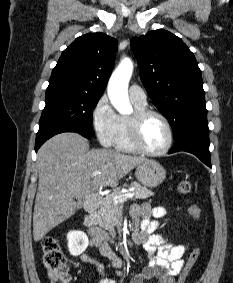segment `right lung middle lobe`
Here are the masks:
<instances>
[{
  "mask_svg": "<svg viewBox=\"0 0 233 283\" xmlns=\"http://www.w3.org/2000/svg\"><path fill=\"white\" fill-rule=\"evenodd\" d=\"M100 97L65 87H48L39 131L54 126H69L92 136V110Z\"/></svg>",
  "mask_w": 233,
  "mask_h": 283,
  "instance_id": "obj_1",
  "label": "right lung middle lobe"
}]
</instances>
